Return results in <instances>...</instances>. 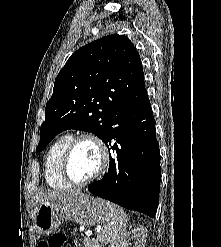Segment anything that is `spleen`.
Here are the masks:
<instances>
[{
    "mask_svg": "<svg viewBox=\"0 0 221 247\" xmlns=\"http://www.w3.org/2000/svg\"><path fill=\"white\" fill-rule=\"evenodd\" d=\"M105 226L98 235L100 243L118 242L126 234L127 215L115 204L105 203Z\"/></svg>",
    "mask_w": 221,
    "mask_h": 247,
    "instance_id": "1",
    "label": "spleen"
}]
</instances>
